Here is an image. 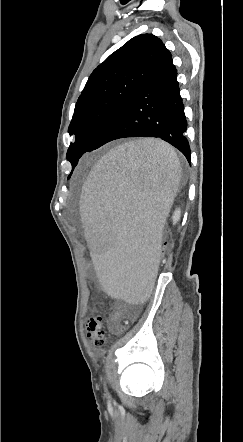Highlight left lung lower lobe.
Listing matches in <instances>:
<instances>
[{
    "mask_svg": "<svg viewBox=\"0 0 243 442\" xmlns=\"http://www.w3.org/2000/svg\"><path fill=\"white\" fill-rule=\"evenodd\" d=\"M186 130L187 120L177 71L166 49L140 85L119 107L90 151L119 138L155 137L176 147L190 163Z\"/></svg>",
    "mask_w": 243,
    "mask_h": 442,
    "instance_id": "obj_1",
    "label": "left lung lower lobe"
}]
</instances>
